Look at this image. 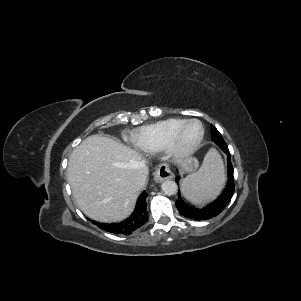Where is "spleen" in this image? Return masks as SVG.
Listing matches in <instances>:
<instances>
[{"label": "spleen", "mask_w": 301, "mask_h": 301, "mask_svg": "<svg viewBox=\"0 0 301 301\" xmlns=\"http://www.w3.org/2000/svg\"><path fill=\"white\" fill-rule=\"evenodd\" d=\"M225 182L224 165L220 154L210 149L205 155L200 169L188 175L181 183V190L187 200L194 204H204L214 199Z\"/></svg>", "instance_id": "spleen-1"}]
</instances>
